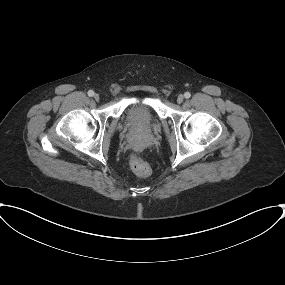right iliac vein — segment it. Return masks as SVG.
Segmentation results:
<instances>
[{"instance_id": "obj_1", "label": "right iliac vein", "mask_w": 285, "mask_h": 285, "mask_svg": "<svg viewBox=\"0 0 285 285\" xmlns=\"http://www.w3.org/2000/svg\"><path fill=\"white\" fill-rule=\"evenodd\" d=\"M94 99H95L96 101H99V100H100L99 95H98V94H95V95H94Z\"/></svg>"}]
</instances>
